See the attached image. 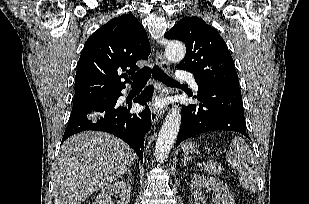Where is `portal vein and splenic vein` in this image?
<instances>
[{
    "mask_svg": "<svg viewBox=\"0 0 309 204\" xmlns=\"http://www.w3.org/2000/svg\"><path fill=\"white\" fill-rule=\"evenodd\" d=\"M202 164H203V165H206V163H205V162H203V163H201V164H199V165H202ZM215 164H216V163H215Z\"/></svg>",
    "mask_w": 309,
    "mask_h": 204,
    "instance_id": "18ae733b",
    "label": "portal vein and splenic vein"
}]
</instances>
